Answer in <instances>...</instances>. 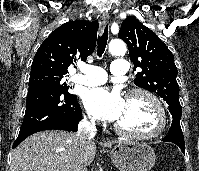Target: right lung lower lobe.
<instances>
[{
    "label": "right lung lower lobe",
    "instance_id": "right-lung-lower-lobe-1",
    "mask_svg": "<svg viewBox=\"0 0 199 171\" xmlns=\"http://www.w3.org/2000/svg\"><path fill=\"white\" fill-rule=\"evenodd\" d=\"M81 119L82 111L76 95H67L49 83L29 85L25 116L13 148L39 131H77Z\"/></svg>",
    "mask_w": 199,
    "mask_h": 171
}]
</instances>
